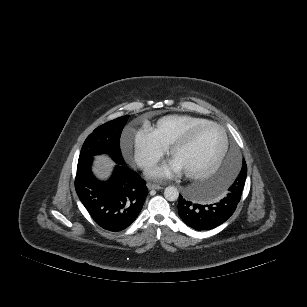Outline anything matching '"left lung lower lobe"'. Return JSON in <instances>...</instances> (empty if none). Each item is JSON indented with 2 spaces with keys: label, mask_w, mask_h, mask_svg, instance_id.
I'll use <instances>...</instances> for the list:
<instances>
[{
  "label": "left lung lower lobe",
  "mask_w": 307,
  "mask_h": 307,
  "mask_svg": "<svg viewBox=\"0 0 307 307\" xmlns=\"http://www.w3.org/2000/svg\"><path fill=\"white\" fill-rule=\"evenodd\" d=\"M240 198L241 195L229 191L219 202L201 205L179 195L178 213L189 227L198 231L210 230L229 219Z\"/></svg>",
  "instance_id": "left-lung-lower-lobe-1"
}]
</instances>
